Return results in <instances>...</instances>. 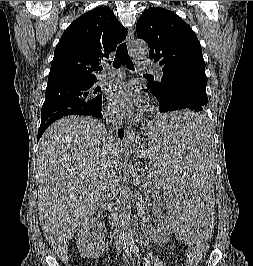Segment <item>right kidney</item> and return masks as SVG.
I'll use <instances>...</instances> for the list:
<instances>
[{
    "label": "right kidney",
    "instance_id": "obj_1",
    "mask_svg": "<svg viewBox=\"0 0 253 266\" xmlns=\"http://www.w3.org/2000/svg\"><path fill=\"white\" fill-rule=\"evenodd\" d=\"M103 225L95 219H90L78 228L76 235L79 253L85 258H99L107 246Z\"/></svg>",
    "mask_w": 253,
    "mask_h": 266
}]
</instances>
